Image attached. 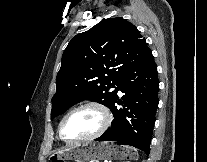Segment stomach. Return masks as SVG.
<instances>
[{"label": "stomach", "instance_id": "1", "mask_svg": "<svg viewBox=\"0 0 207 162\" xmlns=\"http://www.w3.org/2000/svg\"><path fill=\"white\" fill-rule=\"evenodd\" d=\"M131 147L119 146L112 142L83 143L70 149L59 151L50 156L51 162L74 160L75 162H100V160L135 159ZM60 160V161H58Z\"/></svg>", "mask_w": 207, "mask_h": 162}]
</instances>
